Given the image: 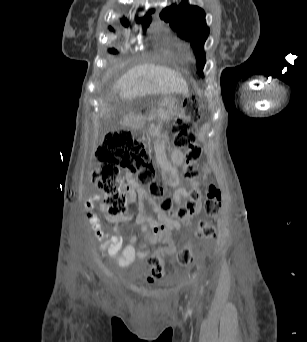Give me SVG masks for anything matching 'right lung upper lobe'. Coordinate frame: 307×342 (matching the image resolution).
Returning <instances> with one entry per match:
<instances>
[{
    "label": "right lung upper lobe",
    "mask_w": 307,
    "mask_h": 342,
    "mask_svg": "<svg viewBox=\"0 0 307 342\" xmlns=\"http://www.w3.org/2000/svg\"><path fill=\"white\" fill-rule=\"evenodd\" d=\"M137 22L139 23H143V27L146 28L148 27L149 23L151 22V17L149 15H146L144 17V20L143 19H138ZM121 23L124 25V26H127V22L125 20H121ZM111 30H113L111 27H110Z\"/></svg>",
    "instance_id": "obj_1"
}]
</instances>
